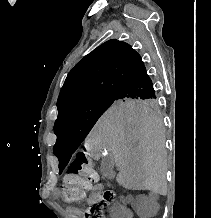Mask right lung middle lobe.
I'll return each mask as SVG.
<instances>
[{
  "label": "right lung middle lobe",
  "mask_w": 211,
  "mask_h": 218,
  "mask_svg": "<svg viewBox=\"0 0 211 218\" xmlns=\"http://www.w3.org/2000/svg\"><path fill=\"white\" fill-rule=\"evenodd\" d=\"M110 107L159 109L157 97H120L116 94L92 98L58 115L54 125L56 144L78 147L99 117Z\"/></svg>",
  "instance_id": "right-lung-middle-lobe-1"
}]
</instances>
